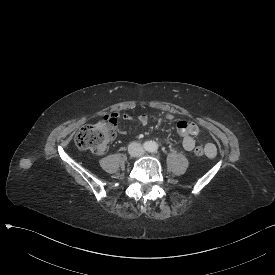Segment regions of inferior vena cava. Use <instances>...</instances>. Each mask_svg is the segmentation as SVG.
Masks as SVG:
<instances>
[{"label":"inferior vena cava","mask_w":275,"mask_h":275,"mask_svg":"<svg viewBox=\"0 0 275 275\" xmlns=\"http://www.w3.org/2000/svg\"><path fill=\"white\" fill-rule=\"evenodd\" d=\"M128 151L129 154L134 157L142 156L145 152L143 146L138 142L130 143Z\"/></svg>","instance_id":"obj_1"}]
</instances>
